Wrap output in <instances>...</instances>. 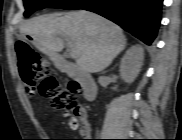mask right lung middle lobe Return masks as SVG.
<instances>
[{
	"label": "right lung middle lobe",
	"instance_id": "right-lung-middle-lobe-1",
	"mask_svg": "<svg viewBox=\"0 0 182 140\" xmlns=\"http://www.w3.org/2000/svg\"><path fill=\"white\" fill-rule=\"evenodd\" d=\"M92 0H24V16H30L34 11L43 8H61L68 10L80 9Z\"/></svg>",
	"mask_w": 182,
	"mask_h": 140
}]
</instances>
